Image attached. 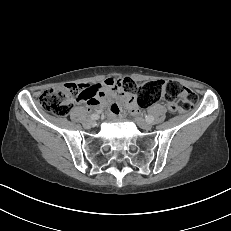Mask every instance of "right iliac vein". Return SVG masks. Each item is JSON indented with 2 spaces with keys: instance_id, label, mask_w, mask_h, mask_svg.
<instances>
[{
  "instance_id": "obj_1",
  "label": "right iliac vein",
  "mask_w": 231,
  "mask_h": 231,
  "mask_svg": "<svg viewBox=\"0 0 231 231\" xmlns=\"http://www.w3.org/2000/svg\"><path fill=\"white\" fill-rule=\"evenodd\" d=\"M93 124H94V122L92 120H86L84 122V126L87 128L93 126Z\"/></svg>"
}]
</instances>
